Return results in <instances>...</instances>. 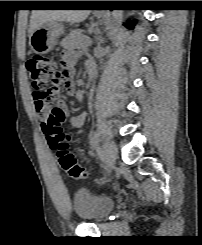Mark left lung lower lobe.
<instances>
[{"mask_svg":"<svg viewBox=\"0 0 202 245\" xmlns=\"http://www.w3.org/2000/svg\"><path fill=\"white\" fill-rule=\"evenodd\" d=\"M133 25H134V22H132L128 27H129L130 29H132V28H133Z\"/></svg>","mask_w":202,"mask_h":245,"instance_id":"0a47b994","label":"left lung lower lobe"}]
</instances>
